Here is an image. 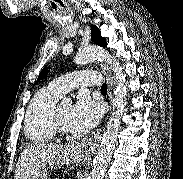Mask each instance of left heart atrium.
<instances>
[{
  "label": "left heart atrium",
  "instance_id": "1",
  "mask_svg": "<svg viewBox=\"0 0 183 179\" xmlns=\"http://www.w3.org/2000/svg\"><path fill=\"white\" fill-rule=\"evenodd\" d=\"M101 114L99 104L81 95L72 107L69 125L73 131L85 132L98 123Z\"/></svg>",
  "mask_w": 183,
  "mask_h": 179
}]
</instances>
